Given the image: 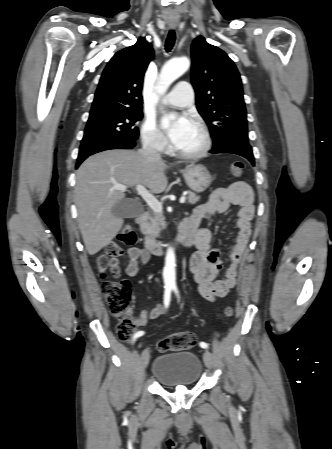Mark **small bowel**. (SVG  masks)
Segmentation results:
<instances>
[{"instance_id":"obj_1","label":"small bowel","mask_w":332,"mask_h":449,"mask_svg":"<svg viewBox=\"0 0 332 449\" xmlns=\"http://www.w3.org/2000/svg\"><path fill=\"white\" fill-rule=\"evenodd\" d=\"M230 205L240 207L236 222L238 234L230 249V261L223 276H220L222 265L219 261V253L212 246L211 232L207 228L201 227V223L214 214L224 213ZM253 215L251 188L244 182H235L229 187L217 189L210 199L206 203L198 205L189 217L195 230L193 244L197 249L191 258L190 268L197 284V293L201 297L214 301L225 297L234 288L237 271L251 235ZM127 256L129 260L125 272L130 277L137 275L140 265L146 264L150 257L145 249L139 247L128 248ZM165 308L158 305L151 311H142L134 321L138 326H143L149 320L163 314Z\"/></svg>"}]
</instances>
